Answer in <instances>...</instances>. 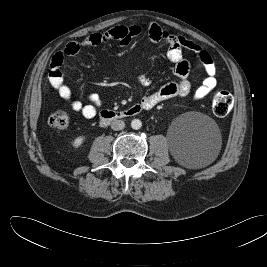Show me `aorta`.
Listing matches in <instances>:
<instances>
[{"label": "aorta", "mask_w": 267, "mask_h": 267, "mask_svg": "<svg viewBox=\"0 0 267 267\" xmlns=\"http://www.w3.org/2000/svg\"><path fill=\"white\" fill-rule=\"evenodd\" d=\"M131 127H132V129H134V130H138V129H140V128L142 127V122H141V120H139V119H133V120L131 121Z\"/></svg>", "instance_id": "1"}]
</instances>
